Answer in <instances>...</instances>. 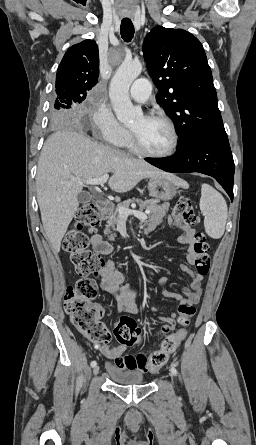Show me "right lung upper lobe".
Returning a JSON list of instances; mask_svg holds the SVG:
<instances>
[{
	"instance_id": "cb5924a9",
	"label": "right lung upper lobe",
	"mask_w": 256,
	"mask_h": 445,
	"mask_svg": "<svg viewBox=\"0 0 256 445\" xmlns=\"http://www.w3.org/2000/svg\"><path fill=\"white\" fill-rule=\"evenodd\" d=\"M99 53L94 40H84L65 53L56 75V93L72 91L86 98L87 91L97 84Z\"/></svg>"
}]
</instances>
